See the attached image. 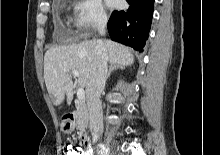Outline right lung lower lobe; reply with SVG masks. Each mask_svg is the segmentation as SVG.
<instances>
[{
    "label": "right lung lower lobe",
    "mask_w": 220,
    "mask_h": 155,
    "mask_svg": "<svg viewBox=\"0 0 220 155\" xmlns=\"http://www.w3.org/2000/svg\"><path fill=\"white\" fill-rule=\"evenodd\" d=\"M126 11H113L107 27L112 40L143 51L149 36L154 0H127Z\"/></svg>",
    "instance_id": "obj_1"
}]
</instances>
